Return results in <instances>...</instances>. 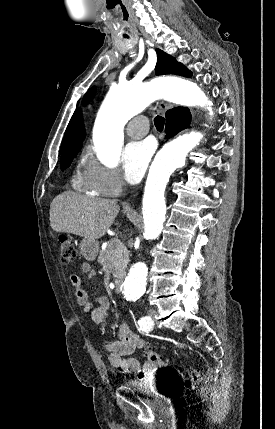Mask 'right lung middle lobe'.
<instances>
[{"mask_svg": "<svg viewBox=\"0 0 275 429\" xmlns=\"http://www.w3.org/2000/svg\"><path fill=\"white\" fill-rule=\"evenodd\" d=\"M77 154L68 155L61 158V170L64 171L67 167L70 166L73 159L76 157Z\"/></svg>", "mask_w": 275, "mask_h": 429, "instance_id": "obj_1", "label": "right lung middle lobe"}]
</instances>
